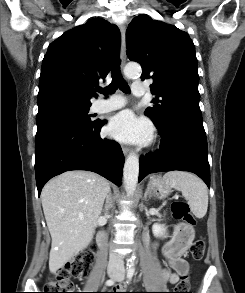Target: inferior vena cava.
Here are the masks:
<instances>
[{
	"label": "inferior vena cava",
	"instance_id": "602c4592",
	"mask_svg": "<svg viewBox=\"0 0 245 293\" xmlns=\"http://www.w3.org/2000/svg\"><path fill=\"white\" fill-rule=\"evenodd\" d=\"M108 269L120 271L123 269L122 259L113 251L110 252Z\"/></svg>",
	"mask_w": 245,
	"mask_h": 293
}]
</instances>
